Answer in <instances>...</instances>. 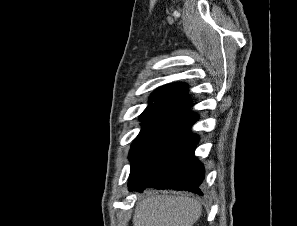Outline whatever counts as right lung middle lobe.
I'll list each match as a JSON object with an SVG mask.
<instances>
[{
    "label": "right lung middle lobe",
    "instance_id": "dd1d6c3e",
    "mask_svg": "<svg viewBox=\"0 0 297 226\" xmlns=\"http://www.w3.org/2000/svg\"><path fill=\"white\" fill-rule=\"evenodd\" d=\"M141 121L143 122L142 129L139 135L134 140L129 154V159L131 161V171L136 167L156 135L167 123V121L164 120Z\"/></svg>",
    "mask_w": 297,
    "mask_h": 226
}]
</instances>
